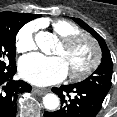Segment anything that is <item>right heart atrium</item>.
<instances>
[{
  "label": "right heart atrium",
  "mask_w": 117,
  "mask_h": 117,
  "mask_svg": "<svg viewBox=\"0 0 117 117\" xmlns=\"http://www.w3.org/2000/svg\"><path fill=\"white\" fill-rule=\"evenodd\" d=\"M38 24L30 22L24 25L16 36V49L18 52L30 51L35 47V34Z\"/></svg>",
  "instance_id": "right-heart-atrium-1"
}]
</instances>
